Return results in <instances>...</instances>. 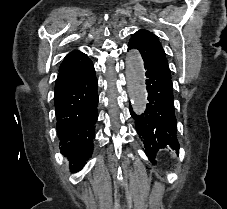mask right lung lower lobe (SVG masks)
Segmentation results:
<instances>
[{"label":"right lung lower lobe","mask_w":227,"mask_h":209,"mask_svg":"<svg viewBox=\"0 0 227 209\" xmlns=\"http://www.w3.org/2000/svg\"><path fill=\"white\" fill-rule=\"evenodd\" d=\"M70 81L54 95L57 135L61 153L77 172L93 152L95 123L98 118L97 78L92 62L82 66L60 65L56 84Z\"/></svg>","instance_id":"1"}]
</instances>
